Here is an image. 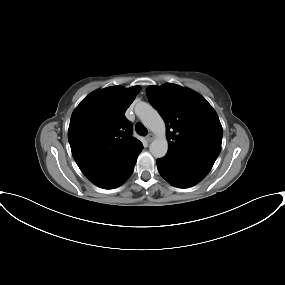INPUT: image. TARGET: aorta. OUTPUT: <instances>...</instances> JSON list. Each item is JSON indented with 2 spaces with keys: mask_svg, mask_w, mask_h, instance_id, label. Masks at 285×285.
<instances>
[{
  "mask_svg": "<svg viewBox=\"0 0 285 285\" xmlns=\"http://www.w3.org/2000/svg\"><path fill=\"white\" fill-rule=\"evenodd\" d=\"M136 114L142 123L156 135V138L150 144L151 154L155 158L164 157L168 150L164 120L157 110L144 102L137 105Z\"/></svg>",
  "mask_w": 285,
  "mask_h": 285,
  "instance_id": "762f6f07",
  "label": "aorta"
}]
</instances>
